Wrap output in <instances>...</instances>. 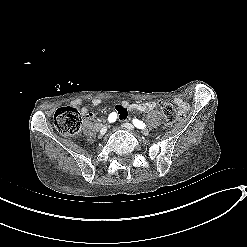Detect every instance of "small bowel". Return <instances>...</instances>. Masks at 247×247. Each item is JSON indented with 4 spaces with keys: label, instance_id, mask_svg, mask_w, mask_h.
Instances as JSON below:
<instances>
[{
    "label": "small bowel",
    "instance_id": "1",
    "mask_svg": "<svg viewBox=\"0 0 247 247\" xmlns=\"http://www.w3.org/2000/svg\"><path fill=\"white\" fill-rule=\"evenodd\" d=\"M100 103H101L100 99L95 98L90 102V105L93 107H96L100 105ZM73 104L79 106L82 104V101L77 100ZM176 104L178 105V107H182L184 109V112L187 109L186 103L183 102L181 99H177ZM158 107H159V104L158 102H155V101L142 102V103L121 102L115 106V112L118 115L119 119L125 120L130 111L150 112V111L157 110ZM80 112L83 116L89 115V106H82Z\"/></svg>",
    "mask_w": 247,
    "mask_h": 247
}]
</instances>
